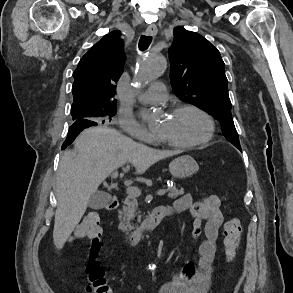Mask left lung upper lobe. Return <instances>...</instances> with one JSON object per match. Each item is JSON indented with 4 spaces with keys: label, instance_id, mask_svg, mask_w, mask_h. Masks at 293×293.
I'll return each mask as SVG.
<instances>
[{
    "label": "left lung upper lobe",
    "instance_id": "left-lung-upper-lobe-1",
    "mask_svg": "<svg viewBox=\"0 0 293 293\" xmlns=\"http://www.w3.org/2000/svg\"><path fill=\"white\" fill-rule=\"evenodd\" d=\"M169 48L170 80L182 100L208 111L222 126L224 136L241 149L231 115L225 64L219 51L201 35L175 28Z\"/></svg>",
    "mask_w": 293,
    "mask_h": 293
}]
</instances>
